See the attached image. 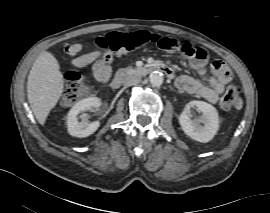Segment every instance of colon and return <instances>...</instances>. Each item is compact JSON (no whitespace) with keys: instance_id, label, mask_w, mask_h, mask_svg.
Wrapping results in <instances>:
<instances>
[{"instance_id":"colon-1","label":"colon","mask_w":270,"mask_h":213,"mask_svg":"<svg viewBox=\"0 0 270 213\" xmlns=\"http://www.w3.org/2000/svg\"><path fill=\"white\" fill-rule=\"evenodd\" d=\"M156 44L160 48L170 51L180 48L186 56H193L199 60H205L206 52L201 48H195L189 43L179 44L177 40L164 37L157 33H148L138 31L135 33L114 32L108 37L100 38L97 41V47L101 50L100 59L107 61L123 51L143 49L147 44ZM213 70L220 78H227L230 75L229 68L226 64L216 61L213 63ZM91 91V86L86 79L79 73H71L65 78L62 103L65 105H74L81 101ZM221 108L225 111L239 109L242 105L241 89L239 85L231 83L227 86L221 102Z\"/></svg>"}]
</instances>
